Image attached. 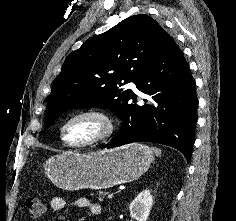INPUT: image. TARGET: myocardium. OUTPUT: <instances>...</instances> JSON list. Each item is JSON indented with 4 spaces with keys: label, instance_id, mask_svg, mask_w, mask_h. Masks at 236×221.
I'll use <instances>...</instances> for the list:
<instances>
[{
    "label": "myocardium",
    "instance_id": "myocardium-1",
    "mask_svg": "<svg viewBox=\"0 0 236 221\" xmlns=\"http://www.w3.org/2000/svg\"><path fill=\"white\" fill-rule=\"evenodd\" d=\"M85 116H93L99 118L104 123L105 126V130L103 131V133L85 143L71 144L67 142L64 133L66 127L72 121ZM116 130H117L116 120L108 111L100 108H89L74 113L64 121V123L60 127V139L62 140L63 144L69 148L85 149L106 142L107 140H109L114 136Z\"/></svg>",
    "mask_w": 236,
    "mask_h": 221
}]
</instances>
